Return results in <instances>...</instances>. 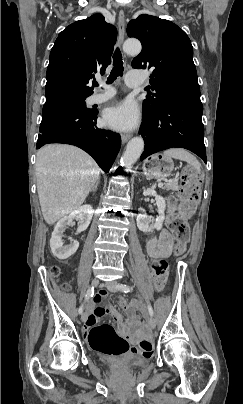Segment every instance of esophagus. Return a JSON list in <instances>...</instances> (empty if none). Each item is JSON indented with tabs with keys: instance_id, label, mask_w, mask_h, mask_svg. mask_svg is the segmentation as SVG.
Here are the masks:
<instances>
[{
	"instance_id": "1",
	"label": "esophagus",
	"mask_w": 243,
	"mask_h": 404,
	"mask_svg": "<svg viewBox=\"0 0 243 404\" xmlns=\"http://www.w3.org/2000/svg\"><path fill=\"white\" fill-rule=\"evenodd\" d=\"M118 31H119L118 44L121 47L125 38V15L123 10H120L118 15ZM130 138H131L130 134L122 135L121 136L122 143L125 144Z\"/></svg>"
}]
</instances>
